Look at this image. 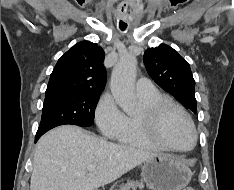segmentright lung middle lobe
<instances>
[{"label": "right lung middle lobe", "instance_id": "obj_1", "mask_svg": "<svg viewBox=\"0 0 234 190\" xmlns=\"http://www.w3.org/2000/svg\"><path fill=\"white\" fill-rule=\"evenodd\" d=\"M100 93L47 89L37 134L64 124L90 127Z\"/></svg>", "mask_w": 234, "mask_h": 190}]
</instances>
